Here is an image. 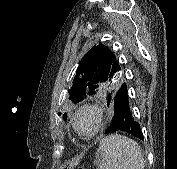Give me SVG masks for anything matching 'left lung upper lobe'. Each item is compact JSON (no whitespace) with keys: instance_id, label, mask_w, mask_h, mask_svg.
Wrapping results in <instances>:
<instances>
[{"instance_id":"5c2ea615","label":"left lung upper lobe","mask_w":177,"mask_h":169,"mask_svg":"<svg viewBox=\"0 0 177 169\" xmlns=\"http://www.w3.org/2000/svg\"><path fill=\"white\" fill-rule=\"evenodd\" d=\"M121 85V66L111 50L100 43L80 62L68 92L72 102H79L87 95L113 96Z\"/></svg>"}]
</instances>
